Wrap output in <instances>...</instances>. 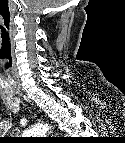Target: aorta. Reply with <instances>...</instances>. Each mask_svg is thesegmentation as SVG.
<instances>
[{
    "label": "aorta",
    "mask_w": 125,
    "mask_h": 143,
    "mask_svg": "<svg viewBox=\"0 0 125 143\" xmlns=\"http://www.w3.org/2000/svg\"><path fill=\"white\" fill-rule=\"evenodd\" d=\"M49 130L48 125L38 124L27 131L28 135H45Z\"/></svg>",
    "instance_id": "762f6f07"
}]
</instances>
